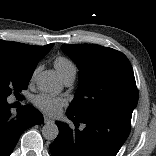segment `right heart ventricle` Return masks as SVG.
Masks as SVG:
<instances>
[{
    "instance_id": "obj_1",
    "label": "right heart ventricle",
    "mask_w": 156,
    "mask_h": 156,
    "mask_svg": "<svg viewBox=\"0 0 156 156\" xmlns=\"http://www.w3.org/2000/svg\"><path fill=\"white\" fill-rule=\"evenodd\" d=\"M54 65L62 79L70 73L76 74V67L74 63L66 57H57L54 61Z\"/></svg>"
}]
</instances>
